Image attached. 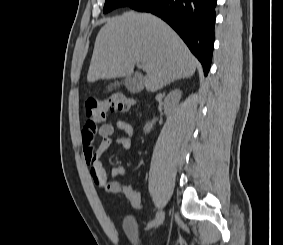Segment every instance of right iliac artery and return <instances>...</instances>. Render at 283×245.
I'll return each mask as SVG.
<instances>
[{
	"label": "right iliac artery",
	"mask_w": 283,
	"mask_h": 245,
	"mask_svg": "<svg viewBox=\"0 0 283 245\" xmlns=\"http://www.w3.org/2000/svg\"><path fill=\"white\" fill-rule=\"evenodd\" d=\"M153 223H154V220L150 221V222L148 223L147 227L150 228V227L153 225Z\"/></svg>",
	"instance_id": "82829eb1"
}]
</instances>
